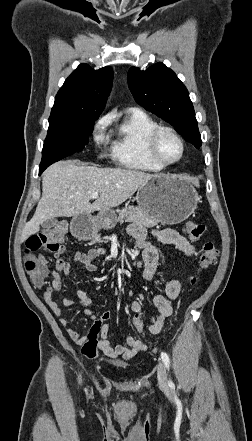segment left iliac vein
<instances>
[{
  "label": "left iliac vein",
  "instance_id": "obj_1",
  "mask_svg": "<svg viewBox=\"0 0 252 441\" xmlns=\"http://www.w3.org/2000/svg\"><path fill=\"white\" fill-rule=\"evenodd\" d=\"M157 377H158V382H159L160 386L165 388L168 385V380H167V374H166L165 367L162 363H160L158 365Z\"/></svg>",
  "mask_w": 252,
  "mask_h": 441
}]
</instances>
